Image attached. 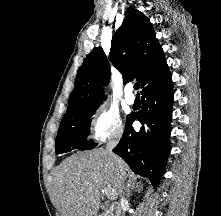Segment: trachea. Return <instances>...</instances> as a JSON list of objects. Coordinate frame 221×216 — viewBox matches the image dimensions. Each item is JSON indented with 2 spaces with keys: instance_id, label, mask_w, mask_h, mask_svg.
Returning a JSON list of instances; mask_svg holds the SVG:
<instances>
[{
  "instance_id": "obj_1",
  "label": "trachea",
  "mask_w": 221,
  "mask_h": 216,
  "mask_svg": "<svg viewBox=\"0 0 221 216\" xmlns=\"http://www.w3.org/2000/svg\"><path fill=\"white\" fill-rule=\"evenodd\" d=\"M139 87H140V84H139V83H135V84H134V89H135V90H138Z\"/></svg>"
}]
</instances>
